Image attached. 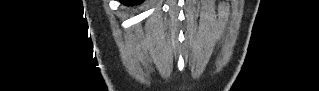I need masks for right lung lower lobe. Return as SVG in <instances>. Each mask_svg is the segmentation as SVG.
<instances>
[{
    "mask_svg": "<svg viewBox=\"0 0 319 91\" xmlns=\"http://www.w3.org/2000/svg\"><path fill=\"white\" fill-rule=\"evenodd\" d=\"M120 2L125 5H135L142 3V0H120Z\"/></svg>",
    "mask_w": 319,
    "mask_h": 91,
    "instance_id": "obj_1",
    "label": "right lung lower lobe"
}]
</instances>
